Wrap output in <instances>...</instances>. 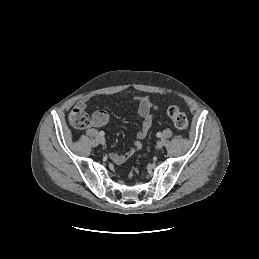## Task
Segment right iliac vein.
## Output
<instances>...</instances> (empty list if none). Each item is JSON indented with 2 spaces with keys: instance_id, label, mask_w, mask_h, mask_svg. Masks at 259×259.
Wrapping results in <instances>:
<instances>
[{
  "instance_id": "right-iliac-vein-1",
  "label": "right iliac vein",
  "mask_w": 259,
  "mask_h": 259,
  "mask_svg": "<svg viewBox=\"0 0 259 259\" xmlns=\"http://www.w3.org/2000/svg\"><path fill=\"white\" fill-rule=\"evenodd\" d=\"M99 141H100V143H101L102 145L105 144V138H104L103 136H101V137L99 138Z\"/></svg>"
}]
</instances>
